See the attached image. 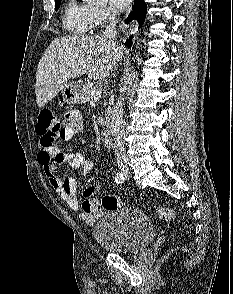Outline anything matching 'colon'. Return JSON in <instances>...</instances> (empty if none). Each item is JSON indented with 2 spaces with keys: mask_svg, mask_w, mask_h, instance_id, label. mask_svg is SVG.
Instances as JSON below:
<instances>
[{
  "mask_svg": "<svg viewBox=\"0 0 233 294\" xmlns=\"http://www.w3.org/2000/svg\"><path fill=\"white\" fill-rule=\"evenodd\" d=\"M61 120L51 109H43L36 123V133L39 136L40 149H51L64 129ZM102 206L107 210L119 208V201L113 196H106L102 199ZM157 216L165 221H173L176 218L175 212L171 208L160 207L156 209Z\"/></svg>",
  "mask_w": 233,
  "mask_h": 294,
  "instance_id": "5ec220e1",
  "label": "colon"
}]
</instances>
